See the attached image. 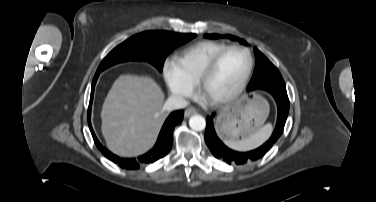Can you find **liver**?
Here are the masks:
<instances>
[{"label": "liver", "instance_id": "obj_1", "mask_svg": "<svg viewBox=\"0 0 376 202\" xmlns=\"http://www.w3.org/2000/svg\"><path fill=\"white\" fill-rule=\"evenodd\" d=\"M164 96L154 79L120 76L103 103L102 133L113 153L134 157L156 141L165 120Z\"/></svg>", "mask_w": 376, "mask_h": 202}]
</instances>
